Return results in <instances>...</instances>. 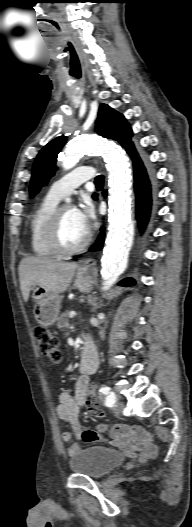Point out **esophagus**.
<instances>
[{"instance_id": "obj_1", "label": "esophagus", "mask_w": 192, "mask_h": 527, "mask_svg": "<svg viewBox=\"0 0 192 527\" xmlns=\"http://www.w3.org/2000/svg\"><path fill=\"white\" fill-rule=\"evenodd\" d=\"M95 265H96V261L94 258H86L80 265V270L88 271V270L94 269Z\"/></svg>"}]
</instances>
